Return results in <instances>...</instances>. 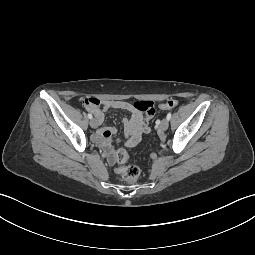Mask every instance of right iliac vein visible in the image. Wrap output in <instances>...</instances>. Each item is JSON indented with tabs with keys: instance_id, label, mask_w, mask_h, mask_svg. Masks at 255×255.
Instances as JSON below:
<instances>
[{
	"instance_id": "63e3f726",
	"label": "right iliac vein",
	"mask_w": 255,
	"mask_h": 255,
	"mask_svg": "<svg viewBox=\"0 0 255 255\" xmlns=\"http://www.w3.org/2000/svg\"><path fill=\"white\" fill-rule=\"evenodd\" d=\"M90 126L92 127V128H97V126H98V123H97V120L96 119H91L90 120Z\"/></svg>"
}]
</instances>
